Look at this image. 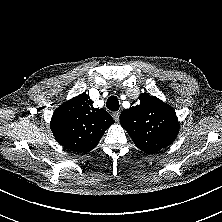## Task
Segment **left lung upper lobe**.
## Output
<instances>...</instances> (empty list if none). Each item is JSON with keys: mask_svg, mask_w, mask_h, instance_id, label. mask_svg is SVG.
Listing matches in <instances>:
<instances>
[{"mask_svg": "<svg viewBox=\"0 0 222 222\" xmlns=\"http://www.w3.org/2000/svg\"><path fill=\"white\" fill-rule=\"evenodd\" d=\"M140 103L120 114V123L134 144L147 153L158 152L177 137L179 122L173 108L147 93Z\"/></svg>", "mask_w": 222, "mask_h": 222, "instance_id": "left-lung-upper-lobe-1", "label": "left lung upper lobe"}]
</instances>
